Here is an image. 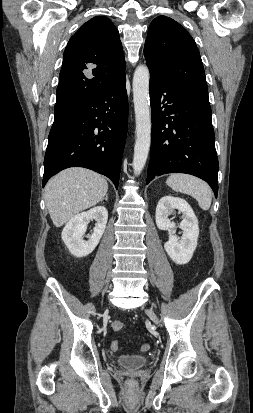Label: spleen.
<instances>
[{
	"mask_svg": "<svg viewBox=\"0 0 253 413\" xmlns=\"http://www.w3.org/2000/svg\"><path fill=\"white\" fill-rule=\"evenodd\" d=\"M166 184L174 191L188 194L198 201L201 209L208 210L211 206L212 193L209 185L203 180L189 174H171Z\"/></svg>",
	"mask_w": 253,
	"mask_h": 413,
	"instance_id": "1",
	"label": "spleen"
}]
</instances>
